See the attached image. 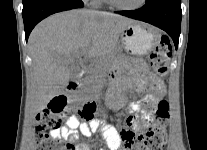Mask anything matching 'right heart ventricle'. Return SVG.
<instances>
[{"instance_id": "e07e8e85", "label": "right heart ventricle", "mask_w": 207, "mask_h": 150, "mask_svg": "<svg viewBox=\"0 0 207 150\" xmlns=\"http://www.w3.org/2000/svg\"><path fill=\"white\" fill-rule=\"evenodd\" d=\"M106 2H107L106 0H95L94 4L99 6L105 4Z\"/></svg>"}]
</instances>
